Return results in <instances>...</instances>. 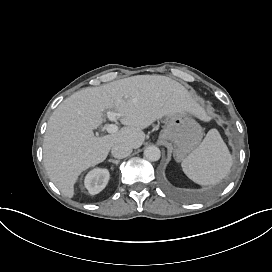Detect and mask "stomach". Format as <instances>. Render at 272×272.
<instances>
[{"label":"stomach","mask_w":272,"mask_h":272,"mask_svg":"<svg viewBox=\"0 0 272 272\" xmlns=\"http://www.w3.org/2000/svg\"><path fill=\"white\" fill-rule=\"evenodd\" d=\"M164 122L160 138L174 144L173 156L179 162L201 143L202 127L185 112L169 113L165 115Z\"/></svg>","instance_id":"stomach-1"}]
</instances>
